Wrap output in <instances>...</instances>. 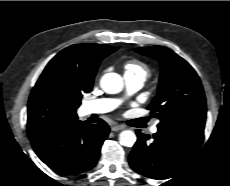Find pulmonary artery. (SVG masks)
<instances>
[{
  "label": "pulmonary artery",
  "instance_id": "obj_1",
  "mask_svg": "<svg viewBox=\"0 0 230 186\" xmlns=\"http://www.w3.org/2000/svg\"><path fill=\"white\" fill-rule=\"evenodd\" d=\"M126 88L129 94L134 93L142 88L145 78L140 75L125 74ZM120 103L117 99L103 98L88 101L84 104V112L86 114H101L114 110ZM152 133H156L158 128L156 125L150 128Z\"/></svg>",
  "mask_w": 230,
  "mask_h": 186
}]
</instances>
